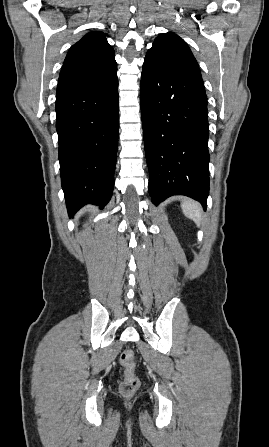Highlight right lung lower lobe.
<instances>
[{"label": "right lung lower lobe", "mask_w": 269, "mask_h": 447, "mask_svg": "<svg viewBox=\"0 0 269 447\" xmlns=\"http://www.w3.org/2000/svg\"><path fill=\"white\" fill-rule=\"evenodd\" d=\"M117 66L102 73L60 80L56 129L62 188L69 215L110 200L118 146Z\"/></svg>", "instance_id": "1"}]
</instances>
